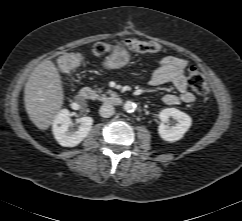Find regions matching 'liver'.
<instances>
[{"label":"liver","instance_id":"6515ba94","mask_svg":"<svg viewBox=\"0 0 242 221\" xmlns=\"http://www.w3.org/2000/svg\"><path fill=\"white\" fill-rule=\"evenodd\" d=\"M64 101L61 76L51 60L39 63L24 89L25 108L30 120L40 130H47Z\"/></svg>","mask_w":242,"mask_h":221}]
</instances>
